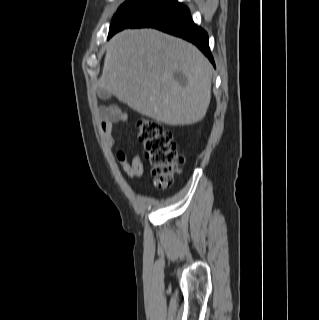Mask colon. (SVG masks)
Returning <instances> with one entry per match:
<instances>
[{"label":"colon","mask_w":319,"mask_h":320,"mask_svg":"<svg viewBox=\"0 0 319 320\" xmlns=\"http://www.w3.org/2000/svg\"><path fill=\"white\" fill-rule=\"evenodd\" d=\"M136 133L143 145L156 185L166 188L183 163L172 134L149 118H141L136 122Z\"/></svg>","instance_id":"obj_1"}]
</instances>
